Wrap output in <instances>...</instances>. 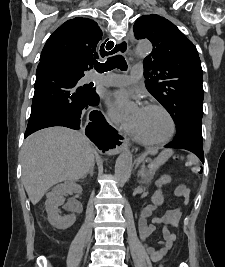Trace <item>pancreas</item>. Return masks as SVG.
<instances>
[{"instance_id":"pancreas-1","label":"pancreas","mask_w":225,"mask_h":267,"mask_svg":"<svg viewBox=\"0 0 225 267\" xmlns=\"http://www.w3.org/2000/svg\"><path fill=\"white\" fill-rule=\"evenodd\" d=\"M163 163H164V160L161 159V158L155 160L154 162H151L150 167L147 170L146 177H145L147 181H149L153 177V175L155 174L156 170Z\"/></svg>"}]
</instances>
